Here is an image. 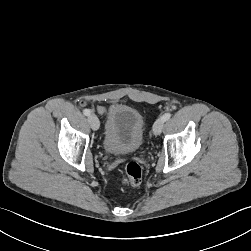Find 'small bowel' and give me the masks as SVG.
<instances>
[{
  "instance_id": "c3829d8e",
  "label": "small bowel",
  "mask_w": 251,
  "mask_h": 251,
  "mask_svg": "<svg viewBox=\"0 0 251 251\" xmlns=\"http://www.w3.org/2000/svg\"><path fill=\"white\" fill-rule=\"evenodd\" d=\"M78 105H79V107H81V108H86V107H88V105H89V100H88V98H86V97H81V98H79V100H78Z\"/></svg>"
}]
</instances>
